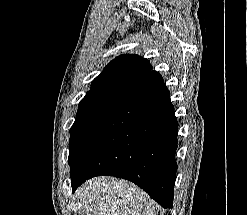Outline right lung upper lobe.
Segmentation results:
<instances>
[{
    "instance_id": "cb5924a9",
    "label": "right lung upper lobe",
    "mask_w": 247,
    "mask_h": 215,
    "mask_svg": "<svg viewBox=\"0 0 247 215\" xmlns=\"http://www.w3.org/2000/svg\"><path fill=\"white\" fill-rule=\"evenodd\" d=\"M152 66L147 59L135 54H125L112 60L91 83L89 92L131 88L147 76Z\"/></svg>"
}]
</instances>
